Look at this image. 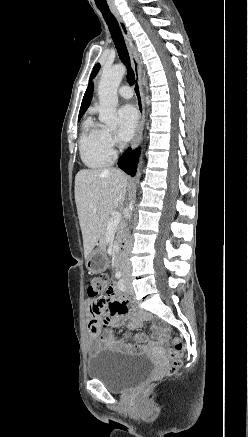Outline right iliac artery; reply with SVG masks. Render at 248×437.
<instances>
[{
  "mask_svg": "<svg viewBox=\"0 0 248 437\" xmlns=\"http://www.w3.org/2000/svg\"><path fill=\"white\" fill-rule=\"evenodd\" d=\"M121 276H122V273L120 271L116 273L117 278H120Z\"/></svg>",
  "mask_w": 248,
  "mask_h": 437,
  "instance_id": "obj_1",
  "label": "right iliac artery"
}]
</instances>
